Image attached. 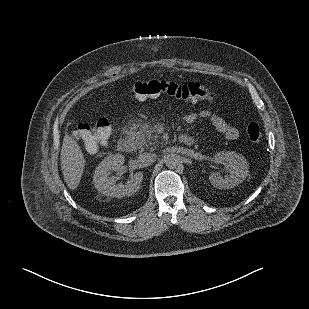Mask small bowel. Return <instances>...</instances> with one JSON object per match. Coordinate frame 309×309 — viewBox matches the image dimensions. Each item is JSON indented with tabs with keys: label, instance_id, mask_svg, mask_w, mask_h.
Returning a JSON list of instances; mask_svg holds the SVG:
<instances>
[{
	"label": "small bowel",
	"instance_id": "1",
	"mask_svg": "<svg viewBox=\"0 0 309 309\" xmlns=\"http://www.w3.org/2000/svg\"><path fill=\"white\" fill-rule=\"evenodd\" d=\"M199 118H207L211 122L213 127L218 132L222 133L229 140H235L239 136L238 130L235 127L231 126L221 116H219L215 113H212L208 110H202V111H199V112H190L186 115L185 121L188 124H192V123L196 122ZM94 150H96V148Z\"/></svg>",
	"mask_w": 309,
	"mask_h": 309
}]
</instances>
